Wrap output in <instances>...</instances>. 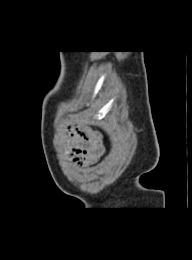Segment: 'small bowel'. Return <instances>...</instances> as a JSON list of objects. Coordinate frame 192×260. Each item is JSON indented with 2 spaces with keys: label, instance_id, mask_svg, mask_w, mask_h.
Instances as JSON below:
<instances>
[{
  "label": "small bowel",
  "instance_id": "1",
  "mask_svg": "<svg viewBox=\"0 0 192 260\" xmlns=\"http://www.w3.org/2000/svg\"><path fill=\"white\" fill-rule=\"evenodd\" d=\"M68 155L75 166H86L95 162L104 152L102 138L97 132L76 124L69 127Z\"/></svg>",
  "mask_w": 192,
  "mask_h": 260
}]
</instances>
